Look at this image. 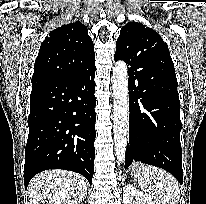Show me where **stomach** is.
I'll list each match as a JSON object with an SVG mask.
<instances>
[{
    "label": "stomach",
    "instance_id": "stomach-1",
    "mask_svg": "<svg viewBox=\"0 0 206 204\" xmlns=\"http://www.w3.org/2000/svg\"><path fill=\"white\" fill-rule=\"evenodd\" d=\"M143 167H144V165H142L140 163L134 164L131 168V176L134 178H138V181H139L142 177Z\"/></svg>",
    "mask_w": 206,
    "mask_h": 204
}]
</instances>
